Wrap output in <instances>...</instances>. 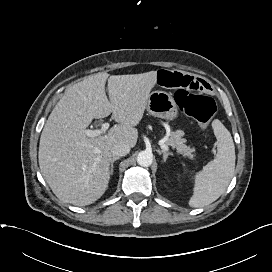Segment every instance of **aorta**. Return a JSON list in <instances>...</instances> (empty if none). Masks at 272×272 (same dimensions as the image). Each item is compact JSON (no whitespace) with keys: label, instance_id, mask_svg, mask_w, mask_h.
Returning a JSON list of instances; mask_svg holds the SVG:
<instances>
[{"label":"aorta","instance_id":"obj_1","mask_svg":"<svg viewBox=\"0 0 272 272\" xmlns=\"http://www.w3.org/2000/svg\"><path fill=\"white\" fill-rule=\"evenodd\" d=\"M137 163L142 167H149L153 163V155L148 151H141L137 155Z\"/></svg>","mask_w":272,"mask_h":272}]
</instances>
